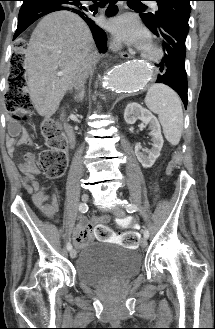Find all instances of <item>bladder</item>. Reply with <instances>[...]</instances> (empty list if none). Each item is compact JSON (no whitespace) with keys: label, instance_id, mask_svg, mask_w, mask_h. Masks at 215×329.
<instances>
[{"label":"bladder","instance_id":"bladder-1","mask_svg":"<svg viewBox=\"0 0 215 329\" xmlns=\"http://www.w3.org/2000/svg\"><path fill=\"white\" fill-rule=\"evenodd\" d=\"M140 256L132 249L107 241L85 246L75 264L77 279L97 286L108 280H126L140 271Z\"/></svg>","mask_w":215,"mask_h":329}]
</instances>
